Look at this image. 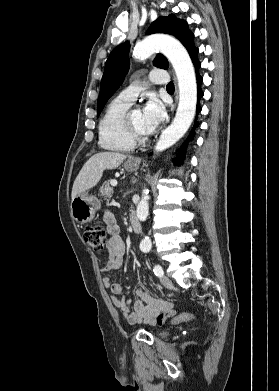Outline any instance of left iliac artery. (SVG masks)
Instances as JSON below:
<instances>
[{"label": "left iliac artery", "mask_w": 279, "mask_h": 391, "mask_svg": "<svg viewBox=\"0 0 279 391\" xmlns=\"http://www.w3.org/2000/svg\"><path fill=\"white\" fill-rule=\"evenodd\" d=\"M153 272L156 276L158 277H162L163 276V270H162V267L160 265H156L154 268H153Z\"/></svg>", "instance_id": "left-iliac-artery-1"}]
</instances>
